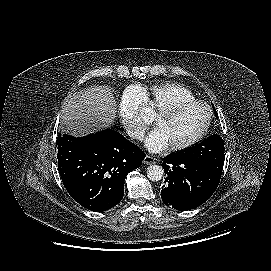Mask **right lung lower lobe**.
I'll use <instances>...</instances> for the list:
<instances>
[{
    "mask_svg": "<svg viewBox=\"0 0 271 271\" xmlns=\"http://www.w3.org/2000/svg\"><path fill=\"white\" fill-rule=\"evenodd\" d=\"M58 170L71 197L91 211H106L124 195L127 174L140 167L145 153L119 132L85 137L59 134Z\"/></svg>",
    "mask_w": 271,
    "mask_h": 271,
    "instance_id": "obj_1",
    "label": "right lung lower lobe"
}]
</instances>
